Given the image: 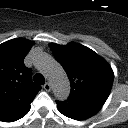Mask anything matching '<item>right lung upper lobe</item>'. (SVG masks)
<instances>
[{"instance_id": "obj_1", "label": "right lung upper lobe", "mask_w": 128, "mask_h": 128, "mask_svg": "<svg viewBox=\"0 0 128 128\" xmlns=\"http://www.w3.org/2000/svg\"><path fill=\"white\" fill-rule=\"evenodd\" d=\"M33 42L17 38L0 44V120L7 121L23 112L40 86L32 82V71L24 58Z\"/></svg>"}]
</instances>
